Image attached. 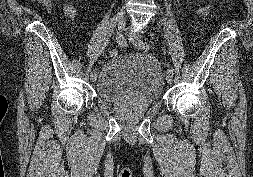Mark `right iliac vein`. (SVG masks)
<instances>
[{
  "label": "right iliac vein",
  "instance_id": "63e3f726",
  "mask_svg": "<svg viewBox=\"0 0 253 177\" xmlns=\"http://www.w3.org/2000/svg\"><path fill=\"white\" fill-rule=\"evenodd\" d=\"M116 22L118 24V29L119 31H123L124 27H125V18L122 14H117L116 16ZM90 79L92 82H94L97 79V72L92 71L90 74Z\"/></svg>",
  "mask_w": 253,
  "mask_h": 177
}]
</instances>
